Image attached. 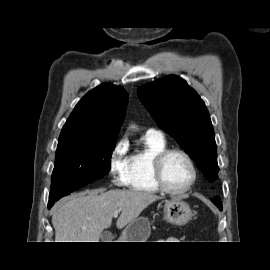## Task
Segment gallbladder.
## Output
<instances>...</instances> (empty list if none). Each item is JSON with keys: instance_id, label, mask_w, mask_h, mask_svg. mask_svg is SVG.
Wrapping results in <instances>:
<instances>
[{"instance_id": "bac80fb5", "label": "gallbladder", "mask_w": 270, "mask_h": 270, "mask_svg": "<svg viewBox=\"0 0 270 270\" xmlns=\"http://www.w3.org/2000/svg\"><path fill=\"white\" fill-rule=\"evenodd\" d=\"M101 238L104 242H110L113 239V235L110 232H105L101 235Z\"/></svg>"}]
</instances>
